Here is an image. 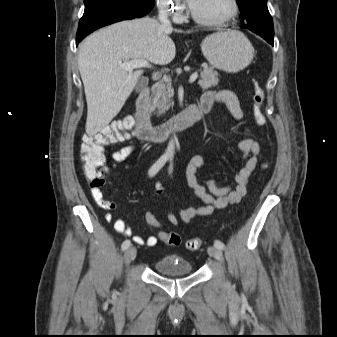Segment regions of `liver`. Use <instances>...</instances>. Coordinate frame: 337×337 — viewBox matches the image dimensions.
Masks as SVG:
<instances>
[{
  "label": "liver",
  "instance_id": "1",
  "mask_svg": "<svg viewBox=\"0 0 337 337\" xmlns=\"http://www.w3.org/2000/svg\"><path fill=\"white\" fill-rule=\"evenodd\" d=\"M171 32L172 28L164 27L156 19L144 17L110 25L80 44L78 67L87 101L89 136L106 127L120 112L144 72H128L120 63H170L176 55Z\"/></svg>",
  "mask_w": 337,
  "mask_h": 337
}]
</instances>
